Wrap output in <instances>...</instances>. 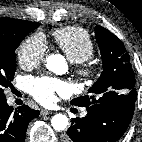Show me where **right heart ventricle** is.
Listing matches in <instances>:
<instances>
[{
  "mask_svg": "<svg viewBox=\"0 0 142 142\" xmlns=\"http://www.w3.org/2000/svg\"><path fill=\"white\" fill-rule=\"evenodd\" d=\"M53 38L57 47L73 63L84 62L95 52L90 34L81 27L68 26L56 29Z\"/></svg>",
  "mask_w": 142,
  "mask_h": 142,
  "instance_id": "1",
  "label": "right heart ventricle"
}]
</instances>
